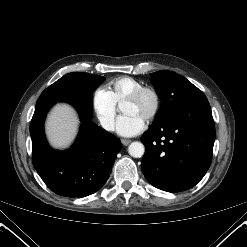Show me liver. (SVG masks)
Returning a JSON list of instances; mask_svg holds the SVG:
<instances>
[{
  "mask_svg": "<svg viewBox=\"0 0 247 247\" xmlns=\"http://www.w3.org/2000/svg\"><path fill=\"white\" fill-rule=\"evenodd\" d=\"M79 120L74 109L67 104H58L50 112L46 122V133L56 148L68 147L75 138Z\"/></svg>",
  "mask_w": 247,
  "mask_h": 247,
  "instance_id": "obj_1",
  "label": "liver"
}]
</instances>
